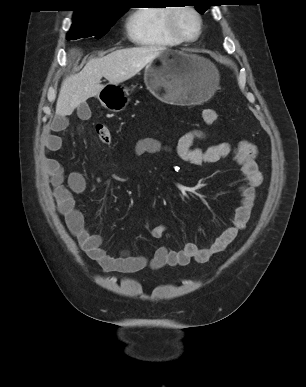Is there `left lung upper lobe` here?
<instances>
[{
  "mask_svg": "<svg viewBox=\"0 0 306 387\" xmlns=\"http://www.w3.org/2000/svg\"><path fill=\"white\" fill-rule=\"evenodd\" d=\"M192 2L195 4L196 10L203 14L209 6L214 5L215 0H192Z\"/></svg>",
  "mask_w": 306,
  "mask_h": 387,
  "instance_id": "1",
  "label": "left lung upper lobe"
}]
</instances>
